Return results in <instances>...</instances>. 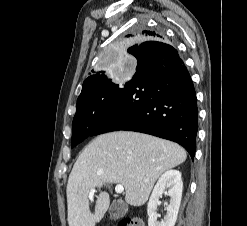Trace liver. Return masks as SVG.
<instances>
[{
	"label": "liver",
	"mask_w": 247,
	"mask_h": 226,
	"mask_svg": "<svg viewBox=\"0 0 247 226\" xmlns=\"http://www.w3.org/2000/svg\"><path fill=\"white\" fill-rule=\"evenodd\" d=\"M187 158L178 144L151 135L117 131L99 135L79 155L67 183L69 226H95L110 205L106 183L123 185L125 201L143 205L159 176ZM97 188L95 211L89 209V193Z\"/></svg>",
	"instance_id": "6515ba94"
}]
</instances>
